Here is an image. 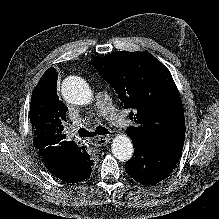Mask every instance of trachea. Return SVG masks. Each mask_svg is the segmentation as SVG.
I'll list each match as a JSON object with an SVG mask.
<instances>
[{"label":"trachea","instance_id":"1","mask_svg":"<svg viewBox=\"0 0 219 219\" xmlns=\"http://www.w3.org/2000/svg\"><path fill=\"white\" fill-rule=\"evenodd\" d=\"M78 134L80 137H94L96 135H106V134H110V132L108 131V129H106L105 127H96L94 132H89L84 128H81L78 131Z\"/></svg>","mask_w":219,"mask_h":219}]
</instances>
